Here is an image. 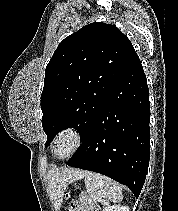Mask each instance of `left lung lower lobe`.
Returning a JSON list of instances; mask_svg holds the SVG:
<instances>
[{
    "label": "left lung lower lobe",
    "mask_w": 178,
    "mask_h": 211,
    "mask_svg": "<svg viewBox=\"0 0 178 211\" xmlns=\"http://www.w3.org/2000/svg\"><path fill=\"white\" fill-rule=\"evenodd\" d=\"M149 120V90L135 53L110 88L82 146L67 164L127 185L138 198L149 165Z\"/></svg>",
    "instance_id": "obj_1"
}]
</instances>
